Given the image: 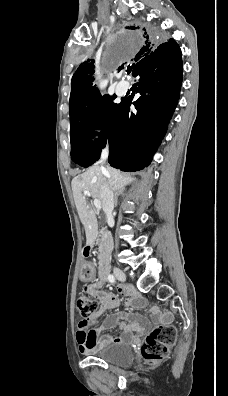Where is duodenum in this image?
I'll use <instances>...</instances> for the list:
<instances>
[{
	"instance_id": "410a0bca",
	"label": "duodenum",
	"mask_w": 228,
	"mask_h": 396,
	"mask_svg": "<svg viewBox=\"0 0 228 396\" xmlns=\"http://www.w3.org/2000/svg\"><path fill=\"white\" fill-rule=\"evenodd\" d=\"M92 246L89 245L86 248V251L89 252L91 250ZM110 250V244H109V238L107 234L103 235L102 242L98 246V253H99V273L104 274L105 273V266H106V260L107 256L109 254Z\"/></svg>"
}]
</instances>
